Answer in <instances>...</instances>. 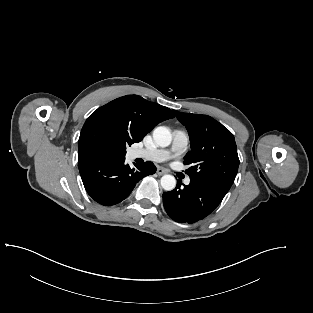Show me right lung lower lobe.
<instances>
[{
    "mask_svg": "<svg viewBox=\"0 0 313 313\" xmlns=\"http://www.w3.org/2000/svg\"><path fill=\"white\" fill-rule=\"evenodd\" d=\"M152 162L131 168L122 159H98L79 165V172L87 193L99 204L115 205L126 199L136 183L154 174Z\"/></svg>",
    "mask_w": 313,
    "mask_h": 313,
    "instance_id": "1",
    "label": "right lung lower lobe"
}]
</instances>
